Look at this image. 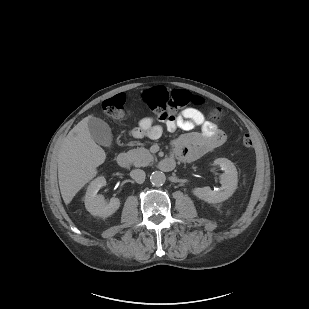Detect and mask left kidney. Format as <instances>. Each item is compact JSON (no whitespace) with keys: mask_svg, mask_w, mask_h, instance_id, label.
<instances>
[{"mask_svg":"<svg viewBox=\"0 0 309 309\" xmlns=\"http://www.w3.org/2000/svg\"><path fill=\"white\" fill-rule=\"evenodd\" d=\"M214 165L220 166L224 173L221 175V188L218 191L210 187L194 188L193 194L208 203H220L233 195L238 185L237 170L234 164L226 158L214 160Z\"/></svg>","mask_w":309,"mask_h":309,"instance_id":"left-kidney-1","label":"left kidney"}]
</instances>
